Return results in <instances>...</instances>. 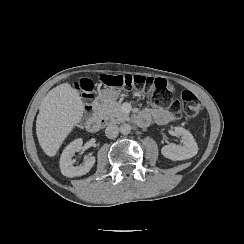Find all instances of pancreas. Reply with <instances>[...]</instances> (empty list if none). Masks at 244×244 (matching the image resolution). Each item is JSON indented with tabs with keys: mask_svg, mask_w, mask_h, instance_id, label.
Returning a JSON list of instances; mask_svg holds the SVG:
<instances>
[{
	"mask_svg": "<svg viewBox=\"0 0 244 244\" xmlns=\"http://www.w3.org/2000/svg\"><path fill=\"white\" fill-rule=\"evenodd\" d=\"M121 106L120 102L113 99L107 104L101 105L97 116L100 120H110L112 123L127 122L130 120L129 113L122 111Z\"/></svg>",
	"mask_w": 244,
	"mask_h": 244,
	"instance_id": "1",
	"label": "pancreas"
}]
</instances>
